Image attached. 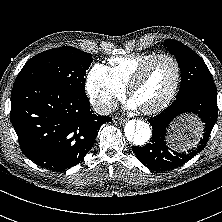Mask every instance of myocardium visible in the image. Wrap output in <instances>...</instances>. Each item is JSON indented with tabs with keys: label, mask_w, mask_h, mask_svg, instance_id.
Returning a JSON list of instances; mask_svg holds the SVG:
<instances>
[{
	"label": "myocardium",
	"mask_w": 222,
	"mask_h": 222,
	"mask_svg": "<svg viewBox=\"0 0 222 222\" xmlns=\"http://www.w3.org/2000/svg\"><path fill=\"white\" fill-rule=\"evenodd\" d=\"M160 59H167V60H170L173 63L174 68H175L174 83H173V86H172L171 90L169 91V93L165 96V98L162 101H160L158 104H156L152 107L141 108L142 112H144L145 114H154V113L160 112L161 110L166 108L170 104V102L173 100V98L175 97V95L177 94V91L179 89V85H180V81H181V67H180V64H179L178 60L173 55L167 54V53H161V54H156L155 56H153L152 58H150L149 60L144 62L137 69V71L134 73V75L130 79V81L128 83V86H127L129 95L132 96L135 88L143 80V78H144L147 70L149 69V67L154 62H156L157 60H160Z\"/></svg>",
	"instance_id": "obj_1"
}]
</instances>
